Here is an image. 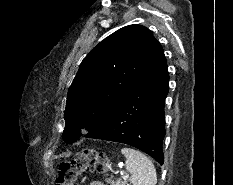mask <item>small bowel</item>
Returning <instances> with one entry per match:
<instances>
[{
  "label": "small bowel",
  "mask_w": 233,
  "mask_h": 185,
  "mask_svg": "<svg viewBox=\"0 0 233 185\" xmlns=\"http://www.w3.org/2000/svg\"><path fill=\"white\" fill-rule=\"evenodd\" d=\"M89 185H105V184L100 181H92Z\"/></svg>",
  "instance_id": "1"
}]
</instances>
